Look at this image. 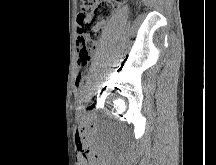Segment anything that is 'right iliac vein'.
<instances>
[{
  "label": "right iliac vein",
  "instance_id": "right-iliac-vein-1",
  "mask_svg": "<svg viewBox=\"0 0 216 165\" xmlns=\"http://www.w3.org/2000/svg\"><path fill=\"white\" fill-rule=\"evenodd\" d=\"M84 109V106H79L77 115L80 116L82 114V110Z\"/></svg>",
  "mask_w": 216,
  "mask_h": 165
}]
</instances>
